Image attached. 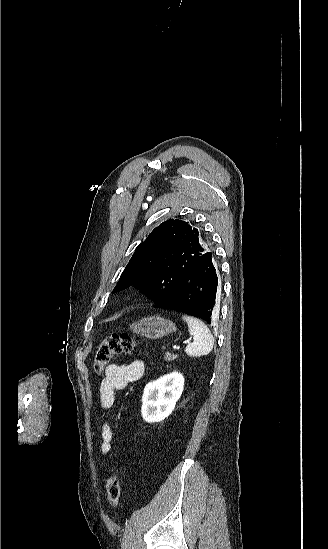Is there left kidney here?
Returning a JSON list of instances; mask_svg holds the SVG:
<instances>
[{
  "label": "left kidney",
  "instance_id": "1",
  "mask_svg": "<svg viewBox=\"0 0 328 549\" xmlns=\"http://www.w3.org/2000/svg\"><path fill=\"white\" fill-rule=\"evenodd\" d=\"M184 389L181 373H169L148 383L142 397V417L146 423H159L175 409Z\"/></svg>",
  "mask_w": 328,
  "mask_h": 549
}]
</instances>
